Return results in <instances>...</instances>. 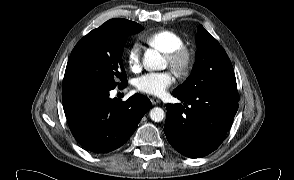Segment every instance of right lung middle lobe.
<instances>
[{
  "label": "right lung middle lobe",
  "instance_id": "right-lung-middle-lobe-1",
  "mask_svg": "<svg viewBox=\"0 0 294 180\" xmlns=\"http://www.w3.org/2000/svg\"><path fill=\"white\" fill-rule=\"evenodd\" d=\"M142 30L105 27L92 30L71 52L65 70L62 90L97 85L109 89L127 84L122 53L127 37Z\"/></svg>",
  "mask_w": 294,
  "mask_h": 180
}]
</instances>
